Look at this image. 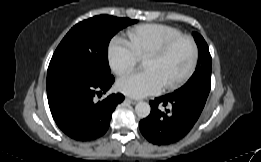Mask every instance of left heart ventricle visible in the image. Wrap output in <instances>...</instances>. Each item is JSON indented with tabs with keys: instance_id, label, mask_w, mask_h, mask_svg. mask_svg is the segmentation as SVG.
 Returning <instances> with one entry per match:
<instances>
[{
	"instance_id": "b2bd125f",
	"label": "left heart ventricle",
	"mask_w": 261,
	"mask_h": 162,
	"mask_svg": "<svg viewBox=\"0 0 261 162\" xmlns=\"http://www.w3.org/2000/svg\"><path fill=\"white\" fill-rule=\"evenodd\" d=\"M192 60V47L186 40L177 43L163 57H148L144 60L146 70H155L164 85L170 84L181 77L189 68Z\"/></svg>"
}]
</instances>
